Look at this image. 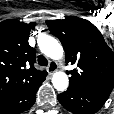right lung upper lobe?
<instances>
[{"mask_svg":"<svg viewBox=\"0 0 114 114\" xmlns=\"http://www.w3.org/2000/svg\"><path fill=\"white\" fill-rule=\"evenodd\" d=\"M34 26V22L26 24L14 19L0 22V99L47 75L33 66L36 54L28 38Z\"/></svg>","mask_w":114,"mask_h":114,"instance_id":"1","label":"right lung upper lobe"}]
</instances>
